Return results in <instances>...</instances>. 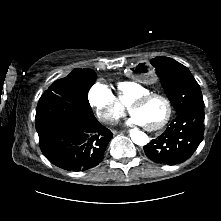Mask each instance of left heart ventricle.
I'll use <instances>...</instances> for the list:
<instances>
[{"mask_svg":"<svg viewBox=\"0 0 221 221\" xmlns=\"http://www.w3.org/2000/svg\"><path fill=\"white\" fill-rule=\"evenodd\" d=\"M132 113L140 117L146 126H155L165 117L167 105L160 98H152L146 104L135 107Z\"/></svg>","mask_w":221,"mask_h":221,"instance_id":"left-heart-ventricle-1","label":"left heart ventricle"}]
</instances>
